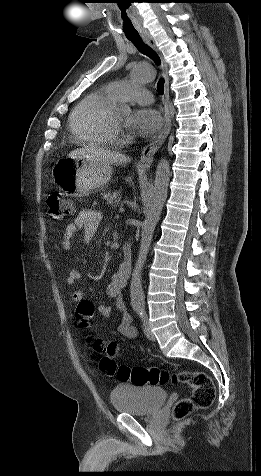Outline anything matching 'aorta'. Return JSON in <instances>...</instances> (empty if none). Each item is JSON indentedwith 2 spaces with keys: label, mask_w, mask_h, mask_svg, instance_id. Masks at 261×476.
Wrapping results in <instances>:
<instances>
[{
  "label": "aorta",
  "mask_w": 261,
  "mask_h": 476,
  "mask_svg": "<svg viewBox=\"0 0 261 476\" xmlns=\"http://www.w3.org/2000/svg\"><path fill=\"white\" fill-rule=\"evenodd\" d=\"M155 75V70L151 65H138L132 70L134 82H151L154 80ZM117 110L122 116H127L131 112L130 108L126 105H120ZM169 180V162L167 159L162 158L157 164L153 193L142 225L138 257L132 272L130 297L131 304L134 307L144 305L145 297L142 288V271L147 260L156 225L167 199Z\"/></svg>",
  "instance_id": "762f6f07"
}]
</instances>
